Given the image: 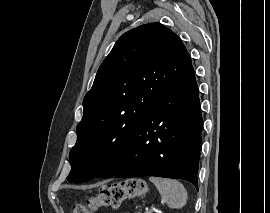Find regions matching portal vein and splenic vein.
<instances>
[{
	"label": "portal vein and splenic vein",
	"instance_id": "1",
	"mask_svg": "<svg viewBox=\"0 0 270 213\" xmlns=\"http://www.w3.org/2000/svg\"><path fill=\"white\" fill-rule=\"evenodd\" d=\"M152 212H153V210H152V209H150V210H149V209H147L145 213H152Z\"/></svg>",
	"mask_w": 270,
	"mask_h": 213
}]
</instances>
